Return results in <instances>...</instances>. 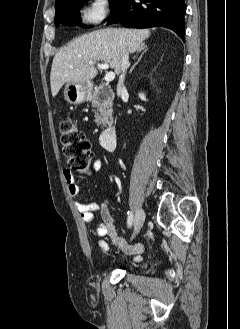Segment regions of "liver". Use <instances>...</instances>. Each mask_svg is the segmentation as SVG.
<instances>
[{
	"label": "liver",
	"mask_w": 240,
	"mask_h": 329,
	"mask_svg": "<svg viewBox=\"0 0 240 329\" xmlns=\"http://www.w3.org/2000/svg\"><path fill=\"white\" fill-rule=\"evenodd\" d=\"M149 36L148 29L106 28L73 40L54 56L50 73L52 96L65 83L89 84L97 75V69L89 61H103L119 73L123 50L137 51Z\"/></svg>",
	"instance_id": "liver-1"
}]
</instances>
